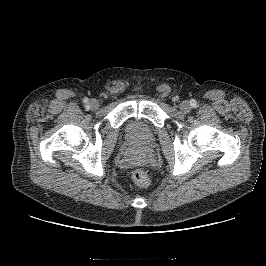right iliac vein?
I'll return each instance as SVG.
<instances>
[{
	"label": "right iliac vein",
	"instance_id": "right-iliac-vein-1",
	"mask_svg": "<svg viewBox=\"0 0 266 266\" xmlns=\"http://www.w3.org/2000/svg\"><path fill=\"white\" fill-rule=\"evenodd\" d=\"M89 106L91 109L93 110H97L99 108V102L95 99H92L90 102H89Z\"/></svg>",
	"mask_w": 266,
	"mask_h": 266
}]
</instances>
